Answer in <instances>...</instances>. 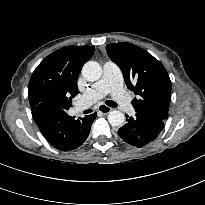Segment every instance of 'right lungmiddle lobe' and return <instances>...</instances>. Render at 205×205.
<instances>
[{
	"label": "right lung middle lobe",
	"mask_w": 205,
	"mask_h": 205,
	"mask_svg": "<svg viewBox=\"0 0 205 205\" xmlns=\"http://www.w3.org/2000/svg\"><path fill=\"white\" fill-rule=\"evenodd\" d=\"M53 100L56 101L57 105L64 108L69 109L71 106L72 96L67 93H59L53 97Z\"/></svg>",
	"instance_id": "dd1d6c3e"
}]
</instances>
